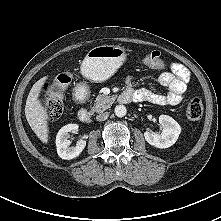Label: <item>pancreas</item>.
<instances>
[{
	"instance_id": "obj_1",
	"label": "pancreas",
	"mask_w": 221,
	"mask_h": 221,
	"mask_svg": "<svg viewBox=\"0 0 221 221\" xmlns=\"http://www.w3.org/2000/svg\"><path fill=\"white\" fill-rule=\"evenodd\" d=\"M114 101H115L114 96L111 97L108 95L99 94L96 97L93 111L102 112V111L108 109L113 104Z\"/></svg>"
}]
</instances>
